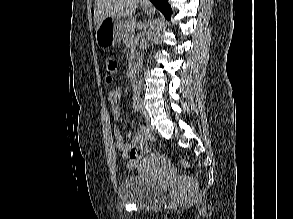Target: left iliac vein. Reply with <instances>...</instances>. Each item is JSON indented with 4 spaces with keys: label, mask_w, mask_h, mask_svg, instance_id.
Instances as JSON below:
<instances>
[{
    "label": "left iliac vein",
    "mask_w": 293,
    "mask_h": 219,
    "mask_svg": "<svg viewBox=\"0 0 293 219\" xmlns=\"http://www.w3.org/2000/svg\"><path fill=\"white\" fill-rule=\"evenodd\" d=\"M141 110H142V115H143V117L145 118V121H146L147 123H149V121H150L149 113H148V111L145 109V107H144V105L142 104V102H141Z\"/></svg>",
    "instance_id": "1"
}]
</instances>
